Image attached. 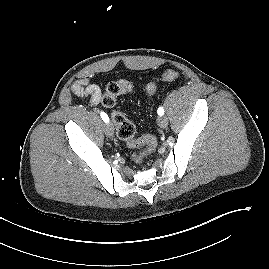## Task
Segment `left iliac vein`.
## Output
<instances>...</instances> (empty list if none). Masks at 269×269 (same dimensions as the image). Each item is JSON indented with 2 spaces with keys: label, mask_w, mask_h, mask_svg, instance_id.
Listing matches in <instances>:
<instances>
[{
  "label": "left iliac vein",
  "mask_w": 269,
  "mask_h": 269,
  "mask_svg": "<svg viewBox=\"0 0 269 269\" xmlns=\"http://www.w3.org/2000/svg\"><path fill=\"white\" fill-rule=\"evenodd\" d=\"M158 125L161 128H166L167 125H168V119H167V117L166 116H160L158 118Z\"/></svg>",
  "instance_id": "left-iliac-vein-1"
}]
</instances>
